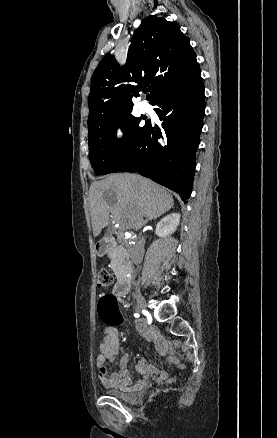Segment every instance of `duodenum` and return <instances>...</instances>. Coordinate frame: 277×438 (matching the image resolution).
<instances>
[{
	"mask_svg": "<svg viewBox=\"0 0 277 438\" xmlns=\"http://www.w3.org/2000/svg\"><path fill=\"white\" fill-rule=\"evenodd\" d=\"M114 240L111 238H104L97 242L96 250L99 255H103L114 248ZM131 267H128L124 274L119 278L115 286V293L119 296L128 294L131 286Z\"/></svg>",
	"mask_w": 277,
	"mask_h": 438,
	"instance_id": "obj_1",
	"label": "duodenum"
}]
</instances>
